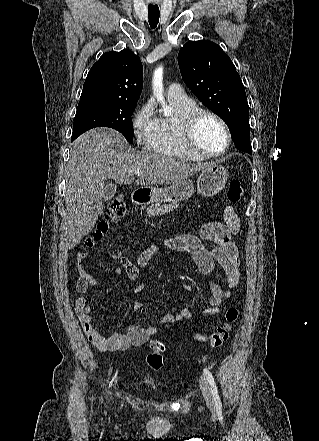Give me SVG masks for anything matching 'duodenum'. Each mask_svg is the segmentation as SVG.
Listing matches in <instances>:
<instances>
[{
	"mask_svg": "<svg viewBox=\"0 0 319 441\" xmlns=\"http://www.w3.org/2000/svg\"><path fill=\"white\" fill-rule=\"evenodd\" d=\"M150 199V192L147 190H137L132 194L131 200L134 204H143Z\"/></svg>",
	"mask_w": 319,
	"mask_h": 441,
	"instance_id": "duodenum-1",
	"label": "duodenum"
}]
</instances>
